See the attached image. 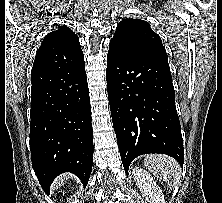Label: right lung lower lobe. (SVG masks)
Returning a JSON list of instances; mask_svg holds the SVG:
<instances>
[{
    "mask_svg": "<svg viewBox=\"0 0 222 203\" xmlns=\"http://www.w3.org/2000/svg\"><path fill=\"white\" fill-rule=\"evenodd\" d=\"M32 167L46 193L64 172L86 186L93 162V131L85 64L31 72Z\"/></svg>",
    "mask_w": 222,
    "mask_h": 203,
    "instance_id": "right-lung-lower-lobe-1",
    "label": "right lung lower lobe"
}]
</instances>
